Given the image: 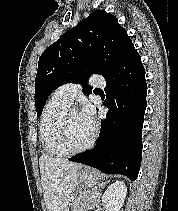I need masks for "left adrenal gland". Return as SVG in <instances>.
I'll return each mask as SVG.
<instances>
[{
  "instance_id": "1",
  "label": "left adrenal gland",
  "mask_w": 178,
  "mask_h": 211,
  "mask_svg": "<svg viewBox=\"0 0 178 211\" xmlns=\"http://www.w3.org/2000/svg\"><path fill=\"white\" fill-rule=\"evenodd\" d=\"M109 181H105V182H101L99 184V188H98V196H97V203L100 202V198H101V189L108 183Z\"/></svg>"
}]
</instances>
